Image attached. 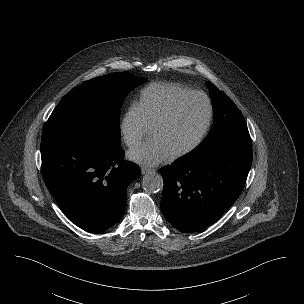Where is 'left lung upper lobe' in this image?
Returning a JSON list of instances; mask_svg holds the SVG:
<instances>
[{
    "mask_svg": "<svg viewBox=\"0 0 304 304\" xmlns=\"http://www.w3.org/2000/svg\"><path fill=\"white\" fill-rule=\"evenodd\" d=\"M213 109L214 122L207 137L185 158L196 159L226 146H251V138L242 113L223 92L208 82Z\"/></svg>",
    "mask_w": 304,
    "mask_h": 304,
    "instance_id": "5c2ea615",
    "label": "left lung upper lobe"
}]
</instances>
